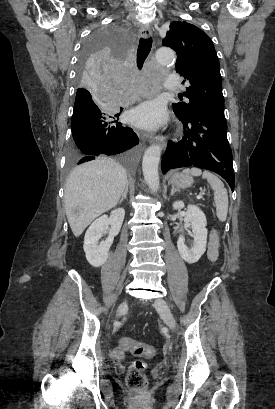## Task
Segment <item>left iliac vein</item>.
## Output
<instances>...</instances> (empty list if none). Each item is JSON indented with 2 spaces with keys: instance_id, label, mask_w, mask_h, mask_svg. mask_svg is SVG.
Returning <instances> with one entry per match:
<instances>
[{
  "instance_id": "4c4485c4",
  "label": "left iliac vein",
  "mask_w": 275,
  "mask_h": 409,
  "mask_svg": "<svg viewBox=\"0 0 275 409\" xmlns=\"http://www.w3.org/2000/svg\"><path fill=\"white\" fill-rule=\"evenodd\" d=\"M155 308L163 316L164 322L171 329V331L175 332L176 320L167 302L163 298H157L155 300Z\"/></svg>"
}]
</instances>
